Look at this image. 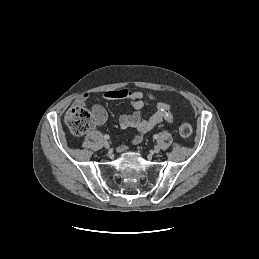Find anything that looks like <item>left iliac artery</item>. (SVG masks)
Segmentation results:
<instances>
[{
  "mask_svg": "<svg viewBox=\"0 0 259 259\" xmlns=\"http://www.w3.org/2000/svg\"><path fill=\"white\" fill-rule=\"evenodd\" d=\"M153 138H154V139H158V135L155 134V135L153 136Z\"/></svg>",
  "mask_w": 259,
  "mask_h": 259,
  "instance_id": "44dca946",
  "label": "left iliac artery"
}]
</instances>
